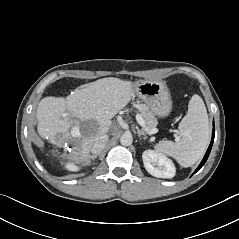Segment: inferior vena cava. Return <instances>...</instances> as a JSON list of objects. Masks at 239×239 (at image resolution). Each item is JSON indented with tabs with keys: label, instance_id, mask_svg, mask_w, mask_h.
I'll return each mask as SVG.
<instances>
[{
	"label": "inferior vena cava",
	"instance_id": "1",
	"mask_svg": "<svg viewBox=\"0 0 239 239\" xmlns=\"http://www.w3.org/2000/svg\"><path fill=\"white\" fill-rule=\"evenodd\" d=\"M108 142V136L106 134L100 135L96 138V142L94 147L101 152L102 149L105 147L106 143Z\"/></svg>",
	"mask_w": 239,
	"mask_h": 239
}]
</instances>
